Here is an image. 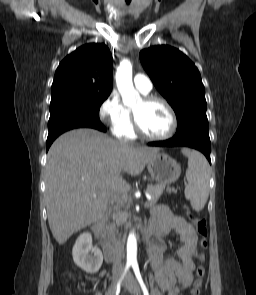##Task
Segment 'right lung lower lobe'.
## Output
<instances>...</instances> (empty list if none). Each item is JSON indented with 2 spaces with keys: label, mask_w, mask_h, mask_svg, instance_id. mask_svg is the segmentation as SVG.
<instances>
[{
  "label": "right lung lower lobe",
  "mask_w": 256,
  "mask_h": 295,
  "mask_svg": "<svg viewBox=\"0 0 256 295\" xmlns=\"http://www.w3.org/2000/svg\"><path fill=\"white\" fill-rule=\"evenodd\" d=\"M94 128L105 132L106 128L100 122L99 118L84 119V120H65L57 121L51 125H48V138H47V150L49 149L52 142L65 131L75 129V128Z\"/></svg>",
  "instance_id": "obj_1"
}]
</instances>
